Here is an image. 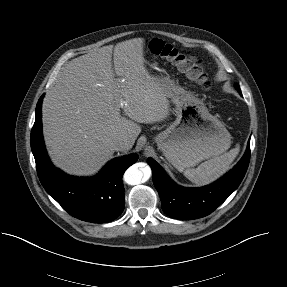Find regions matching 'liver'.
<instances>
[{"mask_svg": "<svg viewBox=\"0 0 287 287\" xmlns=\"http://www.w3.org/2000/svg\"><path fill=\"white\" fill-rule=\"evenodd\" d=\"M144 44L134 38L65 65L42 108L45 143L57 167L71 175H92L113 156L114 138L125 137L121 151H128L141 132L139 123L169 115L163 87L145 67Z\"/></svg>", "mask_w": 287, "mask_h": 287, "instance_id": "1", "label": "liver"}]
</instances>
